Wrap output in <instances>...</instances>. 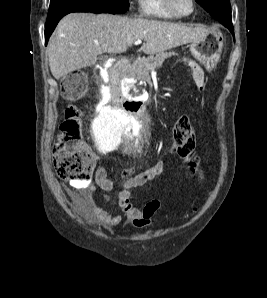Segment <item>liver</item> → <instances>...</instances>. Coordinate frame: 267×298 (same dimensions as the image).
<instances>
[{"label": "liver", "instance_id": "obj_1", "mask_svg": "<svg viewBox=\"0 0 267 298\" xmlns=\"http://www.w3.org/2000/svg\"><path fill=\"white\" fill-rule=\"evenodd\" d=\"M208 31L179 23L112 14L70 13L60 20L48 44L55 79L94 65L103 53H123L136 40L141 50L156 54L205 37Z\"/></svg>", "mask_w": 267, "mask_h": 298}]
</instances>
